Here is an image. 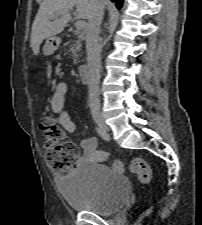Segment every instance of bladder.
Instances as JSON below:
<instances>
[{"mask_svg": "<svg viewBox=\"0 0 202 225\" xmlns=\"http://www.w3.org/2000/svg\"><path fill=\"white\" fill-rule=\"evenodd\" d=\"M59 187L72 210L109 216L123 207L130 182L125 174L112 172L105 164L83 161Z\"/></svg>", "mask_w": 202, "mask_h": 225, "instance_id": "1", "label": "bladder"}]
</instances>
